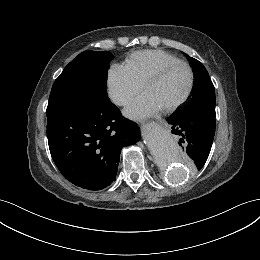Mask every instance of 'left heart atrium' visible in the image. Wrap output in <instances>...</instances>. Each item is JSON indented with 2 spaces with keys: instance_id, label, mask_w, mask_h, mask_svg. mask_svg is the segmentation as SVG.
<instances>
[{
  "instance_id": "obj_1",
  "label": "left heart atrium",
  "mask_w": 260,
  "mask_h": 260,
  "mask_svg": "<svg viewBox=\"0 0 260 260\" xmlns=\"http://www.w3.org/2000/svg\"><path fill=\"white\" fill-rule=\"evenodd\" d=\"M161 109L150 94L144 93L129 106L126 114L132 118H144L156 114Z\"/></svg>"
}]
</instances>
